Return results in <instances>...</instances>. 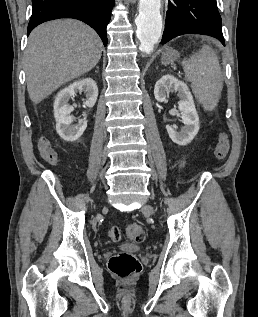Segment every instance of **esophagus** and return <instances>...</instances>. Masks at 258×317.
I'll return each instance as SVG.
<instances>
[{"mask_svg":"<svg viewBox=\"0 0 258 317\" xmlns=\"http://www.w3.org/2000/svg\"><path fill=\"white\" fill-rule=\"evenodd\" d=\"M126 2H136V0H126Z\"/></svg>","mask_w":258,"mask_h":317,"instance_id":"obj_1","label":"esophagus"}]
</instances>
